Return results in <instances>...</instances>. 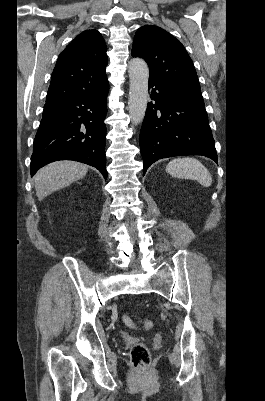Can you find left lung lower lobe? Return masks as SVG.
I'll list each match as a JSON object with an SVG mask.
<instances>
[{
  "label": "left lung lower lobe",
  "mask_w": 265,
  "mask_h": 401,
  "mask_svg": "<svg viewBox=\"0 0 265 401\" xmlns=\"http://www.w3.org/2000/svg\"><path fill=\"white\" fill-rule=\"evenodd\" d=\"M155 86L140 132L143 174L155 161L179 155H203L217 162L203 97L200 90Z\"/></svg>",
  "instance_id": "left-lung-lower-lobe-1"
}]
</instances>
